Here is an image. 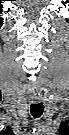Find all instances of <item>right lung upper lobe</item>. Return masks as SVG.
<instances>
[{
    "label": "right lung upper lobe",
    "mask_w": 69,
    "mask_h": 135,
    "mask_svg": "<svg viewBox=\"0 0 69 135\" xmlns=\"http://www.w3.org/2000/svg\"><path fill=\"white\" fill-rule=\"evenodd\" d=\"M9 129H11L10 127H7V129L6 130H9Z\"/></svg>",
    "instance_id": "obj_1"
}]
</instances>
